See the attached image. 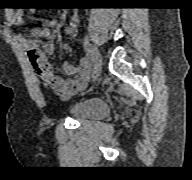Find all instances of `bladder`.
Returning a JSON list of instances; mask_svg holds the SVG:
<instances>
[{"instance_id":"31cf9c89","label":"bladder","mask_w":192,"mask_h":180,"mask_svg":"<svg viewBox=\"0 0 192 180\" xmlns=\"http://www.w3.org/2000/svg\"><path fill=\"white\" fill-rule=\"evenodd\" d=\"M109 104L100 97L82 99L72 104L67 113L76 120H95L110 114Z\"/></svg>"}]
</instances>
